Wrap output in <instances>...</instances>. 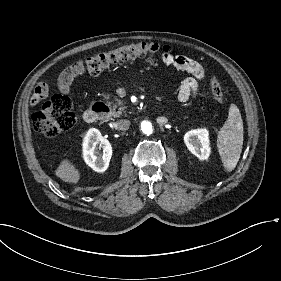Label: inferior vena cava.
<instances>
[{
    "label": "inferior vena cava",
    "mask_w": 281,
    "mask_h": 281,
    "mask_svg": "<svg viewBox=\"0 0 281 281\" xmlns=\"http://www.w3.org/2000/svg\"><path fill=\"white\" fill-rule=\"evenodd\" d=\"M131 122L129 120H119L116 122V129L118 130H128L130 128Z\"/></svg>",
    "instance_id": "602c4592"
}]
</instances>
